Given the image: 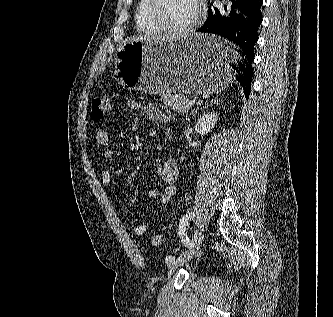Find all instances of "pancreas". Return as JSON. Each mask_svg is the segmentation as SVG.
<instances>
[{"mask_svg": "<svg viewBox=\"0 0 333 317\" xmlns=\"http://www.w3.org/2000/svg\"><path fill=\"white\" fill-rule=\"evenodd\" d=\"M162 98L164 105L180 115L188 112L190 109L191 105L188 103V99L182 94L172 95L171 93H163Z\"/></svg>", "mask_w": 333, "mask_h": 317, "instance_id": "cf45deb5", "label": "pancreas"}]
</instances>
